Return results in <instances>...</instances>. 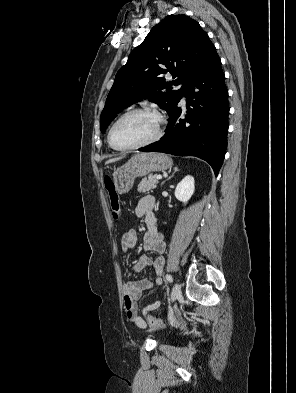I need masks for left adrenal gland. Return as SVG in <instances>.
I'll use <instances>...</instances> for the list:
<instances>
[{"mask_svg":"<svg viewBox=\"0 0 296 393\" xmlns=\"http://www.w3.org/2000/svg\"><path fill=\"white\" fill-rule=\"evenodd\" d=\"M178 171H179V169H178L177 167H175V168H174V171H173V173H172V175H171L170 177H168L165 181H163V182L161 183V186H162L167 180L171 179V178L175 175V173L178 172Z\"/></svg>","mask_w":296,"mask_h":393,"instance_id":"1","label":"left adrenal gland"}]
</instances>
